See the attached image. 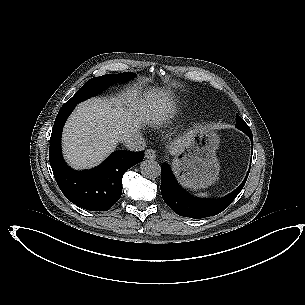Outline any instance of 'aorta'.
<instances>
[{
	"label": "aorta",
	"instance_id": "1",
	"mask_svg": "<svg viewBox=\"0 0 305 305\" xmlns=\"http://www.w3.org/2000/svg\"><path fill=\"white\" fill-rule=\"evenodd\" d=\"M140 171L144 177L155 179L161 175V166L154 160H143L140 163Z\"/></svg>",
	"mask_w": 305,
	"mask_h": 305
}]
</instances>
